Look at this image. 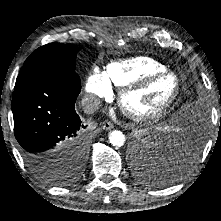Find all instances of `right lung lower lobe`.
Returning <instances> with one entry per match:
<instances>
[{"instance_id": "right-lung-lower-lobe-1", "label": "right lung lower lobe", "mask_w": 221, "mask_h": 221, "mask_svg": "<svg viewBox=\"0 0 221 221\" xmlns=\"http://www.w3.org/2000/svg\"><path fill=\"white\" fill-rule=\"evenodd\" d=\"M81 82L42 79L12 95L14 133L24 160L40 176L65 164L79 165L87 151L84 128L75 111Z\"/></svg>"}]
</instances>
